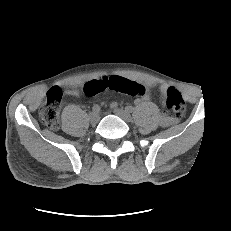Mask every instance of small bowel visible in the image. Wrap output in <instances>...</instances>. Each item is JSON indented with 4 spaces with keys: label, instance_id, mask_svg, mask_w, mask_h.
Segmentation results:
<instances>
[{
    "label": "small bowel",
    "instance_id": "1",
    "mask_svg": "<svg viewBox=\"0 0 231 231\" xmlns=\"http://www.w3.org/2000/svg\"><path fill=\"white\" fill-rule=\"evenodd\" d=\"M137 84H139V83H137ZM151 84H152L151 82H144V83L139 84L143 88L144 92L142 94L138 95V96H135L136 102H140V101H144V100L149 99L150 95H149V93L147 91V87L151 86ZM66 93L69 96H74V97L79 96V92L77 90H75V89H70V90L66 91ZM173 122H174V120L172 118H170V117H165L162 120V124L164 126L171 125Z\"/></svg>",
    "mask_w": 231,
    "mask_h": 231
}]
</instances>
